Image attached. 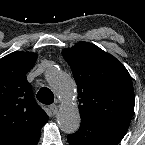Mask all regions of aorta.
I'll use <instances>...</instances> for the list:
<instances>
[{
	"label": "aorta",
	"mask_w": 145,
	"mask_h": 145,
	"mask_svg": "<svg viewBox=\"0 0 145 145\" xmlns=\"http://www.w3.org/2000/svg\"><path fill=\"white\" fill-rule=\"evenodd\" d=\"M45 78L62 103L57 116L60 129L67 134L76 132L79 129L81 118L78 107L73 103L76 95L75 82L56 65L48 67Z\"/></svg>",
	"instance_id": "obj_1"
}]
</instances>
